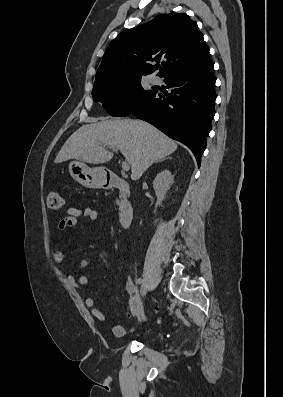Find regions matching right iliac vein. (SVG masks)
<instances>
[{
	"label": "right iliac vein",
	"mask_w": 283,
	"mask_h": 397,
	"mask_svg": "<svg viewBox=\"0 0 283 397\" xmlns=\"http://www.w3.org/2000/svg\"><path fill=\"white\" fill-rule=\"evenodd\" d=\"M148 283L145 281L141 287V294L144 295L147 292Z\"/></svg>",
	"instance_id": "1"
}]
</instances>
